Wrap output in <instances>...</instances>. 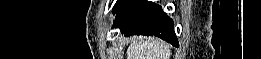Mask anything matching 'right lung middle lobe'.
<instances>
[{
  "label": "right lung middle lobe",
  "instance_id": "obj_1",
  "mask_svg": "<svg viewBox=\"0 0 261 59\" xmlns=\"http://www.w3.org/2000/svg\"><path fill=\"white\" fill-rule=\"evenodd\" d=\"M124 2V0H118L117 3L115 4L114 6V9L113 10H116L117 8L120 7V5Z\"/></svg>",
  "mask_w": 261,
  "mask_h": 59
}]
</instances>
